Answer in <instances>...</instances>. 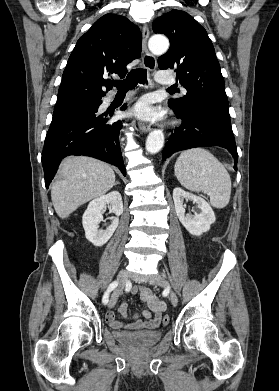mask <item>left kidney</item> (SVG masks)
<instances>
[{"mask_svg": "<svg viewBox=\"0 0 279 391\" xmlns=\"http://www.w3.org/2000/svg\"><path fill=\"white\" fill-rule=\"evenodd\" d=\"M173 200L176 214L181 224L190 234L200 236L209 231L211 224L216 220L215 214L209 203L202 197L186 192L180 187H176L173 190ZM184 200H191L196 203L200 212H195L194 215L186 214Z\"/></svg>", "mask_w": 279, "mask_h": 391, "instance_id": "left-kidney-1", "label": "left kidney"}]
</instances>
